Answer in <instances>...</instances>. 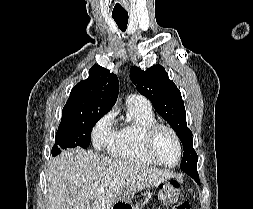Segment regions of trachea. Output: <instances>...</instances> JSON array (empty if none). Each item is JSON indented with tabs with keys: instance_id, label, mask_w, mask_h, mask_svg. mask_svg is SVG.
<instances>
[{
	"instance_id": "obj_1",
	"label": "trachea",
	"mask_w": 253,
	"mask_h": 209,
	"mask_svg": "<svg viewBox=\"0 0 253 209\" xmlns=\"http://www.w3.org/2000/svg\"><path fill=\"white\" fill-rule=\"evenodd\" d=\"M113 19L122 31L126 30L128 24V15L113 16Z\"/></svg>"
}]
</instances>
